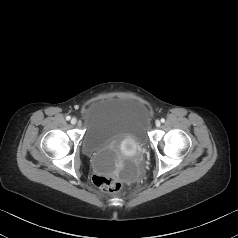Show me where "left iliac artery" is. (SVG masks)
<instances>
[{
  "label": "left iliac artery",
  "instance_id": "left-iliac-artery-1",
  "mask_svg": "<svg viewBox=\"0 0 238 238\" xmlns=\"http://www.w3.org/2000/svg\"><path fill=\"white\" fill-rule=\"evenodd\" d=\"M161 122H162V123H164V122H165V119H164V118H162V119H161Z\"/></svg>",
  "mask_w": 238,
  "mask_h": 238
}]
</instances>
